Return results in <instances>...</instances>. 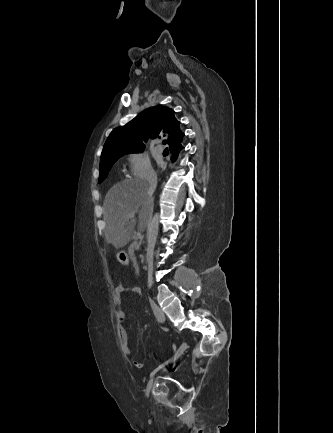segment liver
Returning <instances> with one entry per match:
<instances>
[{
  "label": "liver",
  "mask_w": 333,
  "mask_h": 433,
  "mask_svg": "<svg viewBox=\"0 0 333 433\" xmlns=\"http://www.w3.org/2000/svg\"><path fill=\"white\" fill-rule=\"evenodd\" d=\"M105 239L115 249L126 246L132 239L136 219H127L130 213H139L138 230L145 228L147 216L153 209V197L144 179H127L112 186L103 203Z\"/></svg>",
  "instance_id": "liver-1"
}]
</instances>
